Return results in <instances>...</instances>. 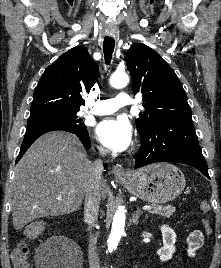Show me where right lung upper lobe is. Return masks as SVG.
I'll return each instance as SVG.
<instances>
[{"label": "right lung upper lobe", "mask_w": 221, "mask_h": 268, "mask_svg": "<svg viewBox=\"0 0 221 268\" xmlns=\"http://www.w3.org/2000/svg\"><path fill=\"white\" fill-rule=\"evenodd\" d=\"M98 65L87 49L77 46L47 67L34 91L30 116L79 111L85 105L82 95L89 93L98 77Z\"/></svg>", "instance_id": "1"}]
</instances>
